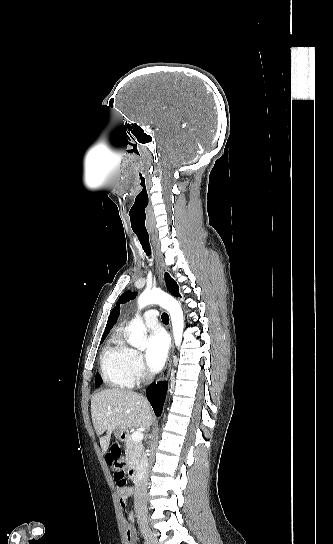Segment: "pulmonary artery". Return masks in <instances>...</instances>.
<instances>
[{
	"mask_svg": "<svg viewBox=\"0 0 333 544\" xmlns=\"http://www.w3.org/2000/svg\"><path fill=\"white\" fill-rule=\"evenodd\" d=\"M144 324L149 329H156L158 327V318H157L156 310L151 309L145 312Z\"/></svg>",
	"mask_w": 333,
	"mask_h": 544,
	"instance_id": "1",
	"label": "pulmonary artery"
}]
</instances>
